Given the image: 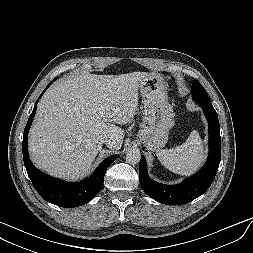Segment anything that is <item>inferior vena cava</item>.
<instances>
[{"label":"inferior vena cava","instance_id":"602c4592","mask_svg":"<svg viewBox=\"0 0 253 253\" xmlns=\"http://www.w3.org/2000/svg\"><path fill=\"white\" fill-rule=\"evenodd\" d=\"M102 143L110 145L112 143V139L109 137H105L104 139H102Z\"/></svg>","mask_w":253,"mask_h":253}]
</instances>
